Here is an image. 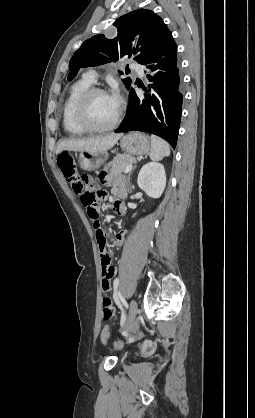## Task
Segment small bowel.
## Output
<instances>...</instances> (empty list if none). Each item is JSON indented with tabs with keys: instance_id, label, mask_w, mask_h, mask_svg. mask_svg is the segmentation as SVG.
Instances as JSON below:
<instances>
[{
	"instance_id": "obj_1",
	"label": "small bowel",
	"mask_w": 255,
	"mask_h": 418,
	"mask_svg": "<svg viewBox=\"0 0 255 418\" xmlns=\"http://www.w3.org/2000/svg\"><path fill=\"white\" fill-rule=\"evenodd\" d=\"M104 175H102V178ZM124 195V189L120 184H116L113 189V209L118 213L123 212V206L121 204V197ZM126 232H121L112 237V244L115 247H119L123 241ZM96 241L99 247L98 253L100 255L101 271H102V289L104 293H107L110 289V281L115 273V268L112 264V258L110 256L111 250L109 248L110 236L108 234L97 235ZM104 320H118L119 313L115 311L111 298L108 295H104L102 298Z\"/></svg>"
}]
</instances>
